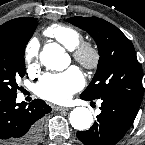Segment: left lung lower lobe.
<instances>
[{"label": "left lung lower lobe", "mask_w": 145, "mask_h": 145, "mask_svg": "<svg viewBox=\"0 0 145 145\" xmlns=\"http://www.w3.org/2000/svg\"><path fill=\"white\" fill-rule=\"evenodd\" d=\"M81 99H90L81 96ZM101 114L93 126L77 132L78 139L85 145H115L134 122L140 104L122 98L102 99Z\"/></svg>", "instance_id": "obj_1"}]
</instances>
